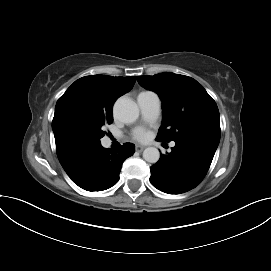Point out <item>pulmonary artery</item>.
Masks as SVG:
<instances>
[{"label":"pulmonary artery","mask_w":271,"mask_h":271,"mask_svg":"<svg viewBox=\"0 0 271 271\" xmlns=\"http://www.w3.org/2000/svg\"><path fill=\"white\" fill-rule=\"evenodd\" d=\"M137 103L145 120L151 121L158 116L160 99L156 93L151 91L141 92L137 97ZM171 146L173 147L174 143Z\"/></svg>","instance_id":"obj_1"}]
</instances>
